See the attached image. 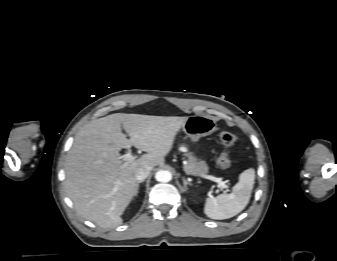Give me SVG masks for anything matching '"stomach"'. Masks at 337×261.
<instances>
[{
    "label": "stomach",
    "mask_w": 337,
    "mask_h": 261,
    "mask_svg": "<svg viewBox=\"0 0 337 261\" xmlns=\"http://www.w3.org/2000/svg\"><path fill=\"white\" fill-rule=\"evenodd\" d=\"M182 130L187 137L196 142L201 137L212 134L216 130V124L209 116L194 115L188 117V120L182 126Z\"/></svg>",
    "instance_id": "stomach-1"
}]
</instances>
